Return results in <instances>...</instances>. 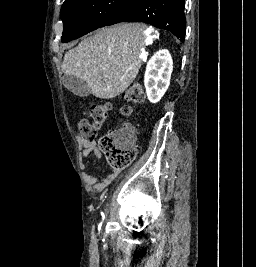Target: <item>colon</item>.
I'll return each instance as SVG.
<instances>
[{
    "label": "colon",
    "mask_w": 256,
    "mask_h": 267,
    "mask_svg": "<svg viewBox=\"0 0 256 267\" xmlns=\"http://www.w3.org/2000/svg\"><path fill=\"white\" fill-rule=\"evenodd\" d=\"M127 105L121 107V114L128 116L132 108L128 104H140L144 98L142 84L132 83L124 92ZM111 110L109 103H102L92 106L78 121L80 135L91 140L98 133L104 122L108 119ZM138 135L130 125H124L115 133L106 134L100 139L99 147L105 154L108 164L112 167H125L135 160L137 153Z\"/></svg>",
    "instance_id": "1"
}]
</instances>
